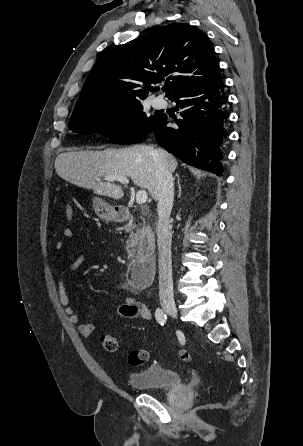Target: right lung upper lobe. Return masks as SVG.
I'll return each mask as SVG.
<instances>
[{"mask_svg":"<svg viewBox=\"0 0 303 446\" xmlns=\"http://www.w3.org/2000/svg\"><path fill=\"white\" fill-rule=\"evenodd\" d=\"M205 33L184 23L170 24L126 44L105 48L88 75L72 116L103 106L145 99L166 79V96L220 76Z\"/></svg>","mask_w":303,"mask_h":446,"instance_id":"right-lung-upper-lobe-1","label":"right lung upper lobe"}]
</instances>
